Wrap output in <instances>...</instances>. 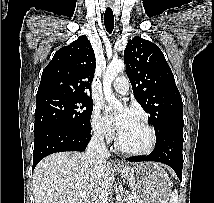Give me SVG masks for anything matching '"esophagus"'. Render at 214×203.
Masks as SVG:
<instances>
[{"instance_id":"34e87169","label":"esophagus","mask_w":214,"mask_h":203,"mask_svg":"<svg viewBox=\"0 0 214 203\" xmlns=\"http://www.w3.org/2000/svg\"><path fill=\"white\" fill-rule=\"evenodd\" d=\"M115 165L117 166V167H122V164L120 163V161L119 160H115Z\"/></svg>"}]
</instances>
